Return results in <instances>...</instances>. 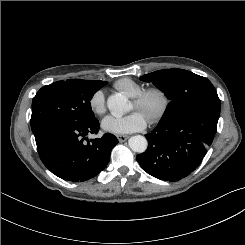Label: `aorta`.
Instances as JSON below:
<instances>
[{
	"label": "aorta",
	"mask_w": 245,
	"mask_h": 245,
	"mask_svg": "<svg viewBox=\"0 0 245 245\" xmlns=\"http://www.w3.org/2000/svg\"><path fill=\"white\" fill-rule=\"evenodd\" d=\"M107 106L115 117H120L128 108V99L122 94L111 95L107 100ZM130 148L137 153H143L147 149V140L144 136H132L129 141Z\"/></svg>",
	"instance_id": "1"
}]
</instances>
